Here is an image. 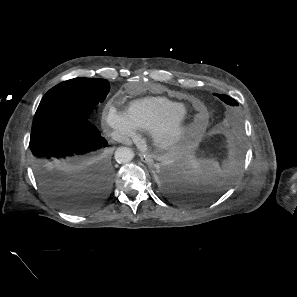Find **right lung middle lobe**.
<instances>
[{"label": "right lung middle lobe", "mask_w": 297, "mask_h": 297, "mask_svg": "<svg viewBox=\"0 0 297 297\" xmlns=\"http://www.w3.org/2000/svg\"><path fill=\"white\" fill-rule=\"evenodd\" d=\"M109 89V83L98 78H75L56 85L42 98L32 128L59 117L88 118L95 105L104 101Z\"/></svg>", "instance_id": "right-lung-middle-lobe-1"}]
</instances>
